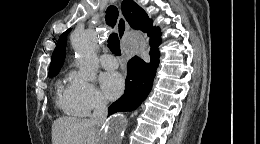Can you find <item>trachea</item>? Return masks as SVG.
Instances as JSON below:
<instances>
[{"label":"trachea","instance_id":"trachea-1","mask_svg":"<svg viewBox=\"0 0 260 144\" xmlns=\"http://www.w3.org/2000/svg\"><path fill=\"white\" fill-rule=\"evenodd\" d=\"M119 12L118 9L115 6H109L106 10V15H105V20L106 23L114 28L117 22ZM108 47L117 56L121 55V50H120V42L118 38V34L115 32H112L109 36L108 39Z\"/></svg>","mask_w":260,"mask_h":144}]
</instances>
